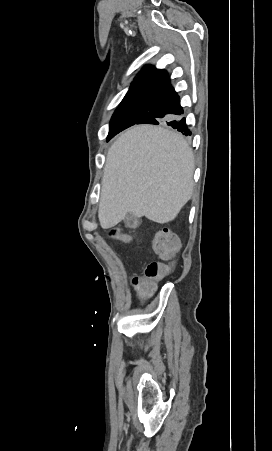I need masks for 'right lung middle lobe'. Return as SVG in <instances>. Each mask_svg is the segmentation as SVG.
I'll list each match as a JSON object with an SVG mask.
<instances>
[{"instance_id": "right-lung-middle-lobe-1", "label": "right lung middle lobe", "mask_w": 272, "mask_h": 451, "mask_svg": "<svg viewBox=\"0 0 272 451\" xmlns=\"http://www.w3.org/2000/svg\"><path fill=\"white\" fill-rule=\"evenodd\" d=\"M152 98L122 101L112 116L107 140L140 120L148 111Z\"/></svg>"}]
</instances>
